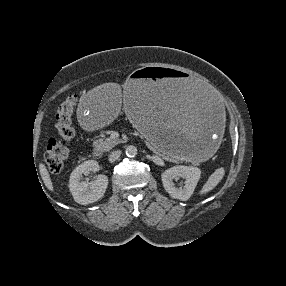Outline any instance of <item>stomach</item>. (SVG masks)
<instances>
[{
  "mask_svg": "<svg viewBox=\"0 0 286 286\" xmlns=\"http://www.w3.org/2000/svg\"><path fill=\"white\" fill-rule=\"evenodd\" d=\"M124 111L146 141L167 156L199 162L220 144L223 104L211 86L187 74L142 68L124 93L102 84L75 106L77 120L90 130L106 127Z\"/></svg>",
  "mask_w": 286,
  "mask_h": 286,
  "instance_id": "obj_1",
  "label": "stomach"
}]
</instances>
